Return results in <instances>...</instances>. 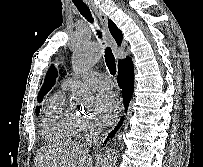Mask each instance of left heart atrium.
Wrapping results in <instances>:
<instances>
[{"label": "left heart atrium", "mask_w": 203, "mask_h": 167, "mask_svg": "<svg viewBox=\"0 0 203 167\" xmlns=\"http://www.w3.org/2000/svg\"><path fill=\"white\" fill-rule=\"evenodd\" d=\"M121 109V100L113 92H104L97 97V121L100 125H108L114 121Z\"/></svg>", "instance_id": "1"}]
</instances>
